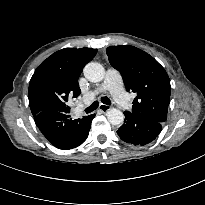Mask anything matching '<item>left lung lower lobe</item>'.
<instances>
[{"label": "left lung lower lobe", "mask_w": 205, "mask_h": 205, "mask_svg": "<svg viewBox=\"0 0 205 205\" xmlns=\"http://www.w3.org/2000/svg\"><path fill=\"white\" fill-rule=\"evenodd\" d=\"M125 123L118 129L117 133L121 140L133 145H146L152 142L162 131V123L135 116L124 112Z\"/></svg>", "instance_id": "left-lung-lower-lobe-1"}]
</instances>
